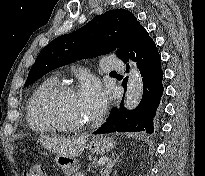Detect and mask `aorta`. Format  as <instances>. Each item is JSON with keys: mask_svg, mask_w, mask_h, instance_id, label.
<instances>
[{"mask_svg": "<svg viewBox=\"0 0 205 176\" xmlns=\"http://www.w3.org/2000/svg\"><path fill=\"white\" fill-rule=\"evenodd\" d=\"M127 83L125 106L134 109L140 102L143 94V82L140 72L131 64Z\"/></svg>", "mask_w": 205, "mask_h": 176, "instance_id": "1", "label": "aorta"}]
</instances>
